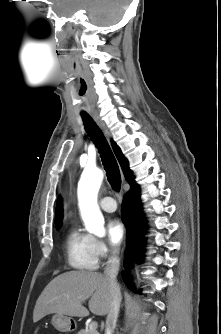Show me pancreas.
Returning a JSON list of instances; mask_svg holds the SVG:
<instances>
[{
	"instance_id": "1",
	"label": "pancreas",
	"mask_w": 221,
	"mask_h": 334,
	"mask_svg": "<svg viewBox=\"0 0 221 334\" xmlns=\"http://www.w3.org/2000/svg\"><path fill=\"white\" fill-rule=\"evenodd\" d=\"M77 334H99L97 331H90L88 329H81Z\"/></svg>"
}]
</instances>
